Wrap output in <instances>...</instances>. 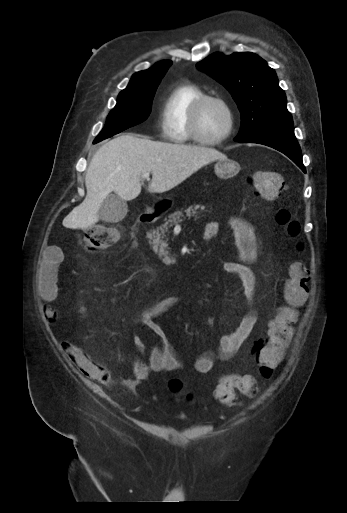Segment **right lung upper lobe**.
<instances>
[{
  "label": "right lung upper lobe",
  "instance_id": "right-lung-upper-lobe-1",
  "mask_svg": "<svg viewBox=\"0 0 347 513\" xmlns=\"http://www.w3.org/2000/svg\"><path fill=\"white\" fill-rule=\"evenodd\" d=\"M171 63V61H160L147 70L135 73L132 76L127 88L124 90H134L147 84L160 81Z\"/></svg>",
  "mask_w": 347,
  "mask_h": 513
}]
</instances>
